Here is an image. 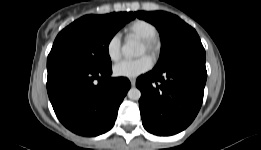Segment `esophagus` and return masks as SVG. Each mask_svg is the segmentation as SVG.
<instances>
[{
	"instance_id": "34e87169",
	"label": "esophagus",
	"mask_w": 261,
	"mask_h": 150,
	"mask_svg": "<svg viewBox=\"0 0 261 150\" xmlns=\"http://www.w3.org/2000/svg\"><path fill=\"white\" fill-rule=\"evenodd\" d=\"M131 85L134 87L136 84V79L135 78H131L130 79Z\"/></svg>"
}]
</instances>
